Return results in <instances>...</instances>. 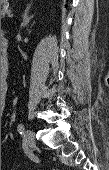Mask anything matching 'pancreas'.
Instances as JSON below:
<instances>
[{
  "instance_id": "cf45deb5",
  "label": "pancreas",
  "mask_w": 109,
  "mask_h": 170,
  "mask_svg": "<svg viewBox=\"0 0 109 170\" xmlns=\"http://www.w3.org/2000/svg\"><path fill=\"white\" fill-rule=\"evenodd\" d=\"M11 13V10L8 9V7L6 5H4L1 9V18H5L6 15H9Z\"/></svg>"
}]
</instances>
